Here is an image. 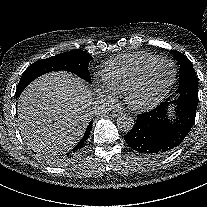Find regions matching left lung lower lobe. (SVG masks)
<instances>
[{"instance_id":"left-lung-lower-lobe-1","label":"left lung lower lobe","mask_w":207,"mask_h":207,"mask_svg":"<svg viewBox=\"0 0 207 207\" xmlns=\"http://www.w3.org/2000/svg\"><path fill=\"white\" fill-rule=\"evenodd\" d=\"M171 103L164 102L155 109L137 115L132 130L125 135L126 143L140 154L162 156L170 153L188 135L194 123L197 106L174 101L175 119H170Z\"/></svg>"}]
</instances>
